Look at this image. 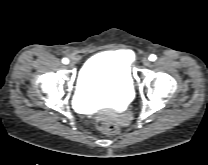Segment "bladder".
I'll list each match as a JSON object with an SVG mask.
<instances>
[{"label": "bladder", "mask_w": 208, "mask_h": 165, "mask_svg": "<svg viewBox=\"0 0 208 165\" xmlns=\"http://www.w3.org/2000/svg\"><path fill=\"white\" fill-rule=\"evenodd\" d=\"M79 103L126 105L133 95L129 62L121 51H105L90 57L80 70L76 84Z\"/></svg>", "instance_id": "bladder-1"}]
</instances>
